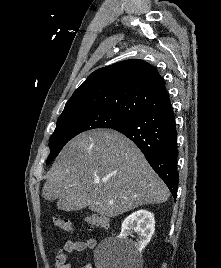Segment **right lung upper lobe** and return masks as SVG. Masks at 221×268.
Masks as SVG:
<instances>
[{
    "instance_id": "right-lung-upper-lobe-1",
    "label": "right lung upper lobe",
    "mask_w": 221,
    "mask_h": 268,
    "mask_svg": "<svg viewBox=\"0 0 221 268\" xmlns=\"http://www.w3.org/2000/svg\"><path fill=\"white\" fill-rule=\"evenodd\" d=\"M169 105L157 69L130 59L94 71L75 90L62 113L106 109L131 120Z\"/></svg>"
}]
</instances>
